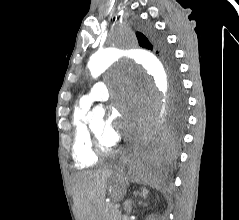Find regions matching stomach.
Instances as JSON below:
<instances>
[{"mask_svg": "<svg viewBox=\"0 0 239 220\" xmlns=\"http://www.w3.org/2000/svg\"><path fill=\"white\" fill-rule=\"evenodd\" d=\"M113 186H125L126 188V183H112ZM120 192H123V191H120ZM116 198H119V197H116Z\"/></svg>", "mask_w": 239, "mask_h": 220, "instance_id": "obj_1", "label": "stomach"}]
</instances>
